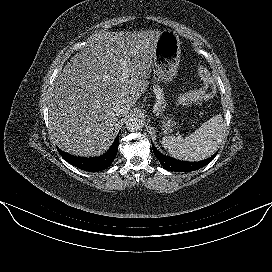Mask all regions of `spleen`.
Instances as JSON below:
<instances>
[{
	"instance_id": "obj_1",
	"label": "spleen",
	"mask_w": 272,
	"mask_h": 272,
	"mask_svg": "<svg viewBox=\"0 0 272 272\" xmlns=\"http://www.w3.org/2000/svg\"><path fill=\"white\" fill-rule=\"evenodd\" d=\"M224 131L222 116L215 115L184 139L168 135L162 138L161 144L175 158L200 161L218 149Z\"/></svg>"
}]
</instances>
